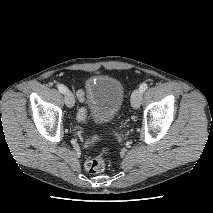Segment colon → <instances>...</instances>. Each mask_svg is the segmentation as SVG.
<instances>
[{"label":"colon","mask_w":213,"mask_h":213,"mask_svg":"<svg viewBox=\"0 0 213 213\" xmlns=\"http://www.w3.org/2000/svg\"><path fill=\"white\" fill-rule=\"evenodd\" d=\"M111 147L109 145H103L100 153L88 159L85 163V169L91 174H99L105 169V155L109 154Z\"/></svg>","instance_id":"colon-1"}]
</instances>
